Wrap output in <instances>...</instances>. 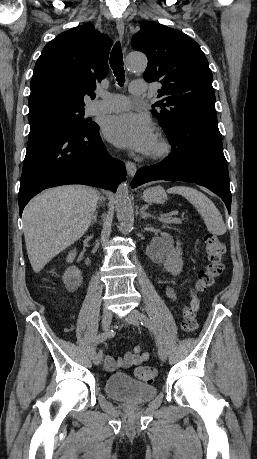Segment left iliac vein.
Listing matches in <instances>:
<instances>
[{
	"instance_id": "1",
	"label": "left iliac vein",
	"mask_w": 257,
	"mask_h": 459,
	"mask_svg": "<svg viewBox=\"0 0 257 459\" xmlns=\"http://www.w3.org/2000/svg\"><path fill=\"white\" fill-rule=\"evenodd\" d=\"M141 318H142V314L140 311L138 310H132L127 316H125L123 318L124 321L128 322V323H132L134 324L135 326H139L140 325V321H141ZM158 355H159V358L162 362H165L166 359H167V353H166V350L165 348L160 345L158 347Z\"/></svg>"
}]
</instances>
